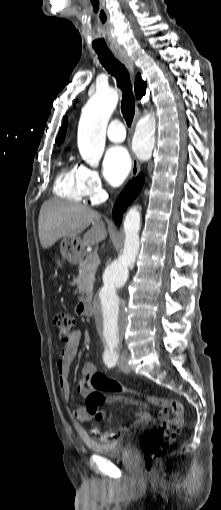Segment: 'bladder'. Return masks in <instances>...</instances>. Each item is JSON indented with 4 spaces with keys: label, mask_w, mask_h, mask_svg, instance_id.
I'll list each match as a JSON object with an SVG mask.
<instances>
[{
    "label": "bladder",
    "mask_w": 221,
    "mask_h": 510,
    "mask_svg": "<svg viewBox=\"0 0 221 510\" xmlns=\"http://www.w3.org/2000/svg\"><path fill=\"white\" fill-rule=\"evenodd\" d=\"M136 434L127 433L113 441L89 442L87 447L93 452L107 458H118L128 455L134 448Z\"/></svg>",
    "instance_id": "bladder-1"
}]
</instances>
